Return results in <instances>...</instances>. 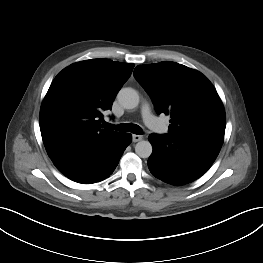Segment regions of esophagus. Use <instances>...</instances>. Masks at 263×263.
Masks as SVG:
<instances>
[{
	"label": "esophagus",
	"instance_id": "esophagus-1",
	"mask_svg": "<svg viewBox=\"0 0 263 263\" xmlns=\"http://www.w3.org/2000/svg\"><path fill=\"white\" fill-rule=\"evenodd\" d=\"M142 138H143V137L140 136V135H136V134H133V135H132V141H133V142L141 141Z\"/></svg>",
	"mask_w": 263,
	"mask_h": 263
}]
</instances>
